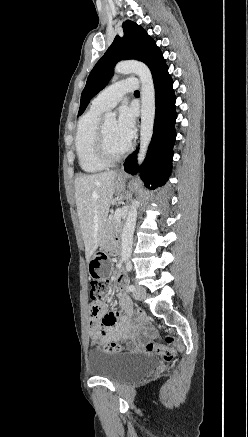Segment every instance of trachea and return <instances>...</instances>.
Segmentation results:
<instances>
[{
	"label": "trachea",
	"instance_id": "obj_1",
	"mask_svg": "<svg viewBox=\"0 0 248 437\" xmlns=\"http://www.w3.org/2000/svg\"><path fill=\"white\" fill-rule=\"evenodd\" d=\"M134 93H135V94H139L140 92H139L138 90H136Z\"/></svg>",
	"mask_w": 248,
	"mask_h": 437
}]
</instances>
